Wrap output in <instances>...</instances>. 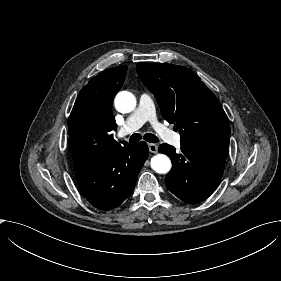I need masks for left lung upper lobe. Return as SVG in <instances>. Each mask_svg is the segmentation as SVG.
Returning <instances> with one entry per match:
<instances>
[{
	"label": "left lung upper lobe",
	"mask_w": 281,
	"mask_h": 281,
	"mask_svg": "<svg viewBox=\"0 0 281 281\" xmlns=\"http://www.w3.org/2000/svg\"><path fill=\"white\" fill-rule=\"evenodd\" d=\"M143 84L155 95L162 116L181 135V146L229 149L230 126L213 92L190 69L137 63Z\"/></svg>",
	"instance_id": "5c2ea615"
}]
</instances>
